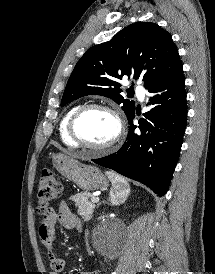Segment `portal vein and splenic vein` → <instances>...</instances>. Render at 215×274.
Instances as JSON below:
<instances>
[{
	"instance_id": "18ae733b",
	"label": "portal vein and splenic vein",
	"mask_w": 215,
	"mask_h": 274,
	"mask_svg": "<svg viewBox=\"0 0 215 274\" xmlns=\"http://www.w3.org/2000/svg\"><path fill=\"white\" fill-rule=\"evenodd\" d=\"M91 201H92L93 203H98V202H99V197L94 196V197H92Z\"/></svg>"
}]
</instances>
